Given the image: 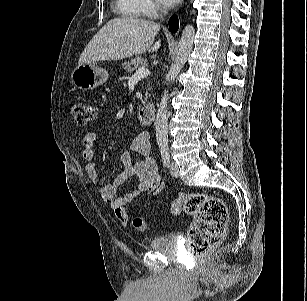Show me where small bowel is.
<instances>
[{
    "mask_svg": "<svg viewBox=\"0 0 307 301\" xmlns=\"http://www.w3.org/2000/svg\"><path fill=\"white\" fill-rule=\"evenodd\" d=\"M98 136L99 133L96 131H88L84 135L82 157L88 162L85 171L90 181L98 187L103 200L111 207L118 221L122 226H126L129 220L127 207L143 195L157 196L164 190L165 185L158 174L149 135L146 132L138 133L132 141L131 150L122 153L120 161L123 170L110 183H102L96 165L91 162ZM132 152L140 154L142 159L134 161ZM132 177L137 178L134 189L122 197L119 196V188Z\"/></svg>",
    "mask_w": 307,
    "mask_h": 301,
    "instance_id": "small-bowel-1",
    "label": "small bowel"
}]
</instances>
